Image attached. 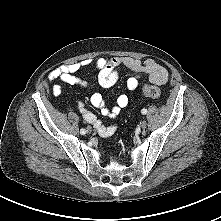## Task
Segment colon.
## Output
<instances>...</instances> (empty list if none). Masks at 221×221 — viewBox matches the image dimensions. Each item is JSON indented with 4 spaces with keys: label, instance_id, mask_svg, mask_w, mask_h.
I'll use <instances>...</instances> for the list:
<instances>
[{
    "label": "colon",
    "instance_id": "obj_1",
    "mask_svg": "<svg viewBox=\"0 0 221 221\" xmlns=\"http://www.w3.org/2000/svg\"><path fill=\"white\" fill-rule=\"evenodd\" d=\"M142 92H143L144 96H146L148 98H152V99L159 98L161 95L160 88L158 86L152 85V84L145 85L143 87Z\"/></svg>",
    "mask_w": 221,
    "mask_h": 221
}]
</instances>
